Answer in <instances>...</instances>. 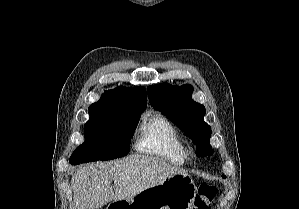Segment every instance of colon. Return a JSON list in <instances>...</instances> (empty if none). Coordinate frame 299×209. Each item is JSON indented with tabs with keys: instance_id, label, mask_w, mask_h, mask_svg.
<instances>
[{
	"instance_id": "obj_1",
	"label": "colon",
	"mask_w": 299,
	"mask_h": 209,
	"mask_svg": "<svg viewBox=\"0 0 299 209\" xmlns=\"http://www.w3.org/2000/svg\"><path fill=\"white\" fill-rule=\"evenodd\" d=\"M219 193V187L210 183H202L198 187L197 196L191 209H212V203Z\"/></svg>"
}]
</instances>
